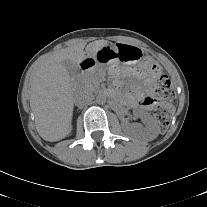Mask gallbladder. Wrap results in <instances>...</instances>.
<instances>
[{
  "mask_svg": "<svg viewBox=\"0 0 207 207\" xmlns=\"http://www.w3.org/2000/svg\"><path fill=\"white\" fill-rule=\"evenodd\" d=\"M62 64L64 65V67L67 69L68 72L70 73H74L77 69V66L75 63H73L72 61L70 60H64L62 62Z\"/></svg>",
  "mask_w": 207,
  "mask_h": 207,
  "instance_id": "1",
  "label": "gallbladder"
}]
</instances>
